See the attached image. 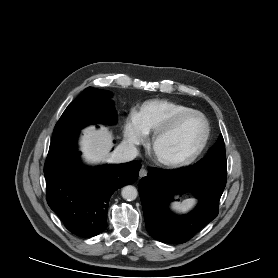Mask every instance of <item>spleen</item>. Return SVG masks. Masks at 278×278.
Masks as SVG:
<instances>
[{
    "label": "spleen",
    "instance_id": "3e777b00",
    "mask_svg": "<svg viewBox=\"0 0 278 278\" xmlns=\"http://www.w3.org/2000/svg\"><path fill=\"white\" fill-rule=\"evenodd\" d=\"M195 203L194 199H186L183 202L172 203L171 208L178 213H187L194 207Z\"/></svg>",
    "mask_w": 278,
    "mask_h": 278
}]
</instances>
